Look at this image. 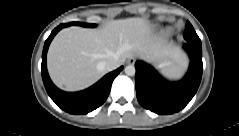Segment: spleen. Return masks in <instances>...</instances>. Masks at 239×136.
Listing matches in <instances>:
<instances>
[{
  "label": "spleen",
  "mask_w": 239,
  "mask_h": 136,
  "mask_svg": "<svg viewBox=\"0 0 239 136\" xmlns=\"http://www.w3.org/2000/svg\"><path fill=\"white\" fill-rule=\"evenodd\" d=\"M169 73H170L171 76H179L180 75V70H178V69H171L169 71Z\"/></svg>",
  "instance_id": "obj_1"
}]
</instances>
